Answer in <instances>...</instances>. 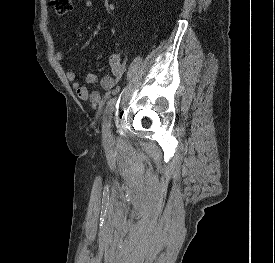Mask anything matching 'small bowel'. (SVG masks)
Returning <instances> with one entry per match:
<instances>
[{
	"mask_svg": "<svg viewBox=\"0 0 275 263\" xmlns=\"http://www.w3.org/2000/svg\"><path fill=\"white\" fill-rule=\"evenodd\" d=\"M93 7L92 0H83L82 8L90 9ZM64 52L62 50L56 52L55 59L59 62L63 60ZM112 73L109 76H105L99 79L95 74L88 73L85 76L84 82H81L77 79L76 72L69 70L66 72V77L68 81L72 84V87L75 89L79 99L84 101H90L98 103L103 100V98L96 91H90L85 83L95 84L99 83L101 88L107 92V96L114 94L117 91V84L119 80L123 77L125 73V66L121 62L120 52L113 53L109 59Z\"/></svg>",
	"mask_w": 275,
	"mask_h": 263,
	"instance_id": "obj_1",
	"label": "small bowel"
}]
</instances>
